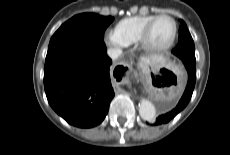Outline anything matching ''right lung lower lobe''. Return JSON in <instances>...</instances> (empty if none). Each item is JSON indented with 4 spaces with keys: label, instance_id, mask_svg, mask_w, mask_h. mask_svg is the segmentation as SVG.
Wrapping results in <instances>:
<instances>
[{
    "label": "right lung lower lobe",
    "instance_id": "98d812e1",
    "mask_svg": "<svg viewBox=\"0 0 230 155\" xmlns=\"http://www.w3.org/2000/svg\"><path fill=\"white\" fill-rule=\"evenodd\" d=\"M111 64L106 46L70 48L46 56L44 87L50 106L73 126L100 124L114 97Z\"/></svg>",
    "mask_w": 230,
    "mask_h": 155
}]
</instances>
